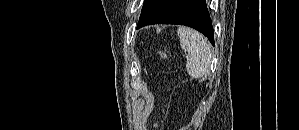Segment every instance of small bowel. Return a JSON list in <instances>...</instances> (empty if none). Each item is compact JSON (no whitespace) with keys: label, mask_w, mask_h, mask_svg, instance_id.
Returning a JSON list of instances; mask_svg holds the SVG:
<instances>
[{"label":"small bowel","mask_w":299,"mask_h":130,"mask_svg":"<svg viewBox=\"0 0 299 130\" xmlns=\"http://www.w3.org/2000/svg\"><path fill=\"white\" fill-rule=\"evenodd\" d=\"M153 126H154V127H157V125H156V124H154Z\"/></svg>","instance_id":"c3829d8e"}]
</instances>
